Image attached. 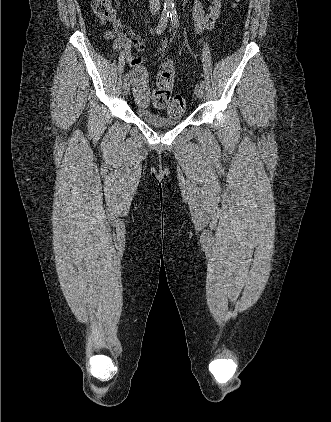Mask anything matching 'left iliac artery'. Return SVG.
<instances>
[{
    "mask_svg": "<svg viewBox=\"0 0 331 422\" xmlns=\"http://www.w3.org/2000/svg\"><path fill=\"white\" fill-rule=\"evenodd\" d=\"M170 18H171L172 25L175 28H178L179 27V18H178V14H177V12L175 10L170 11ZM200 86L202 88H204L205 83H204L203 80L200 81Z\"/></svg>",
    "mask_w": 331,
    "mask_h": 422,
    "instance_id": "44dca946",
    "label": "left iliac artery"
}]
</instances>
